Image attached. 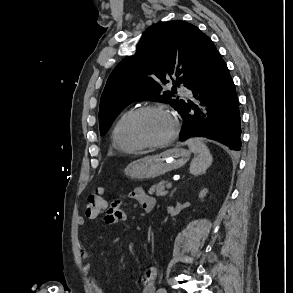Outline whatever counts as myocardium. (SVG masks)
Instances as JSON below:
<instances>
[{
	"label": "myocardium",
	"mask_w": 293,
	"mask_h": 293,
	"mask_svg": "<svg viewBox=\"0 0 293 293\" xmlns=\"http://www.w3.org/2000/svg\"><path fill=\"white\" fill-rule=\"evenodd\" d=\"M155 111H160L167 114L172 121L173 129L167 138L157 142H149L144 140L139 135L137 130V123L142 115L148 112H155ZM126 131H127V136L129 140L132 141L133 143L140 145L142 148H160L170 144L176 138L179 131V121L177 117L175 116V114L168 107L164 105H160V104L145 105L140 108H137L136 110L132 112L127 122Z\"/></svg>",
	"instance_id": "myocardium-1"
}]
</instances>
